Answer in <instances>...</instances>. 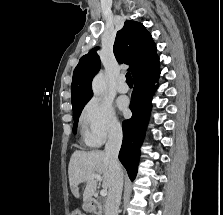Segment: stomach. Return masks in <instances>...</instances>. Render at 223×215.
Wrapping results in <instances>:
<instances>
[{"mask_svg": "<svg viewBox=\"0 0 223 215\" xmlns=\"http://www.w3.org/2000/svg\"><path fill=\"white\" fill-rule=\"evenodd\" d=\"M90 207H92V203L90 202H85L83 203V209H86V211H90Z\"/></svg>", "mask_w": 223, "mask_h": 215, "instance_id": "1", "label": "stomach"}]
</instances>
